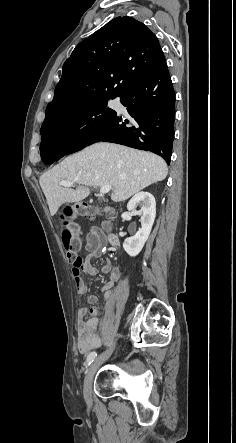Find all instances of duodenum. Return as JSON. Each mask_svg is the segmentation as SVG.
I'll list each match as a JSON object with an SVG mask.
<instances>
[{"label":"duodenum","mask_w":236,"mask_h":443,"mask_svg":"<svg viewBox=\"0 0 236 443\" xmlns=\"http://www.w3.org/2000/svg\"><path fill=\"white\" fill-rule=\"evenodd\" d=\"M108 243L112 248H117L118 244H119V239L115 234H110L108 236Z\"/></svg>","instance_id":"duodenum-1"}]
</instances>
